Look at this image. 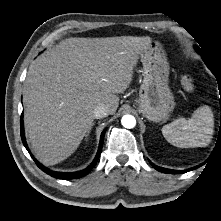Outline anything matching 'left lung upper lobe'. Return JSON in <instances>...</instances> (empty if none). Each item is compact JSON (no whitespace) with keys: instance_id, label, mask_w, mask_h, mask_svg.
<instances>
[{"instance_id":"obj_1","label":"left lung upper lobe","mask_w":221,"mask_h":221,"mask_svg":"<svg viewBox=\"0 0 221 221\" xmlns=\"http://www.w3.org/2000/svg\"><path fill=\"white\" fill-rule=\"evenodd\" d=\"M196 49H197V51H198L201 55H203V54H202V51H201L198 47H196Z\"/></svg>"}]
</instances>
